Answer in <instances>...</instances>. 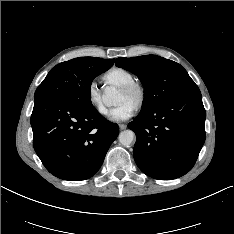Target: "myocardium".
Here are the masks:
<instances>
[{
  "instance_id": "obj_1",
  "label": "myocardium",
  "mask_w": 234,
  "mask_h": 234,
  "mask_svg": "<svg viewBox=\"0 0 234 234\" xmlns=\"http://www.w3.org/2000/svg\"><path fill=\"white\" fill-rule=\"evenodd\" d=\"M119 91L135 98V109H140L144 105L146 100V89L141 82L136 80L128 82L119 87Z\"/></svg>"
}]
</instances>
